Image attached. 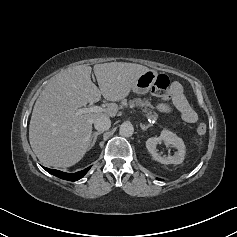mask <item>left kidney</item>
<instances>
[{
    "instance_id": "obj_1",
    "label": "left kidney",
    "mask_w": 237,
    "mask_h": 237,
    "mask_svg": "<svg viewBox=\"0 0 237 237\" xmlns=\"http://www.w3.org/2000/svg\"><path fill=\"white\" fill-rule=\"evenodd\" d=\"M171 144L178 149L173 156H161L157 153L156 146L160 142ZM146 147L153 159L162 164H181L185 158V145L181 138L169 130H163L159 137H151L146 141Z\"/></svg>"
}]
</instances>
